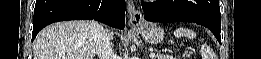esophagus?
<instances>
[{
    "instance_id": "1",
    "label": "esophagus",
    "mask_w": 261,
    "mask_h": 59,
    "mask_svg": "<svg viewBox=\"0 0 261 59\" xmlns=\"http://www.w3.org/2000/svg\"><path fill=\"white\" fill-rule=\"evenodd\" d=\"M127 11L129 17V23L132 26H138L143 21V15L140 10H137L133 1L129 0L127 2Z\"/></svg>"
}]
</instances>
